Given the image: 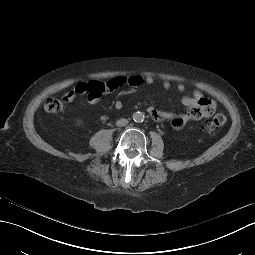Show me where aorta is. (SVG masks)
Returning a JSON list of instances; mask_svg holds the SVG:
<instances>
[{
    "label": "aorta",
    "mask_w": 255,
    "mask_h": 255,
    "mask_svg": "<svg viewBox=\"0 0 255 255\" xmlns=\"http://www.w3.org/2000/svg\"><path fill=\"white\" fill-rule=\"evenodd\" d=\"M133 120L136 123H141L144 121V114L142 112H135L133 114Z\"/></svg>",
    "instance_id": "obj_1"
}]
</instances>
